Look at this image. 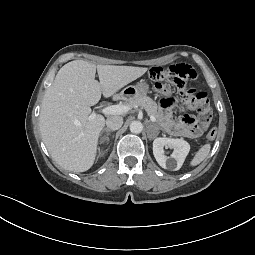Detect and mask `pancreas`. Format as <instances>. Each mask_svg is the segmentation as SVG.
I'll use <instances>...</instances> for the list:
<instances>
[{"instance_id":"1","label":"pancreas","mask_w":255,"mask_h":255,"mask_svg":"<svg viewBox=\"0 0 255 255\" xmlns=\"http://www.w3.org/2000/svg\"><path fill=\"white\" fill-rule=\"evenodd\" d=\"M128 105L132 108H144L148 115H153L155 118H159L157 103L146 95L129 99Z\"/></svg>"}]
</instances>
